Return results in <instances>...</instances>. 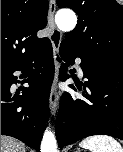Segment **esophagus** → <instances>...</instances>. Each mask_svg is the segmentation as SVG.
<instances>
[{
  "mask_svg": "<svg viewBox=\"0 0 123 152\" xmlns=\"http://www.w3.org/2000/svg\"><path fill=\"white\" fill-rule=\"evenodd\" d=\"M55 11H56V1L49 0L48 23L51 28V41H52L54 52H55V72H54V78H53L50 95H49V106H50L52 115H55L57 111L59 96H60V92L57 88L60 65L56 59V54L59 52L60 44L62 41V33L56 27L55 21H54Z\"/></svg>",
  "mask_w": 123,
  "mask_h": 152,
  "instance_id": "34e87169",
  "label": "esophagus"
}]
</instances>
